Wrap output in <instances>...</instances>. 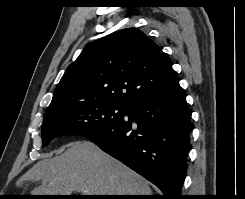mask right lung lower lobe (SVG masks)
I'll use <instances>...</instances> for the list:
<instances>
[{"label": "right lung lower lobe", "instance_id": "1", "mask_svg": "<svg viewBox=\"0 0 245 199\" xmlns=\"http://www.w3.org/2000/svg\"><path fill=\"white\" fill-rule=\"evenodd\" d=\"M190 120L178 83L162 95L128 106L122 119L88 139L155 184L164 199H181Z\"/></svg>", "mask_w": 245, "mask_h": 199}]
</instances>
